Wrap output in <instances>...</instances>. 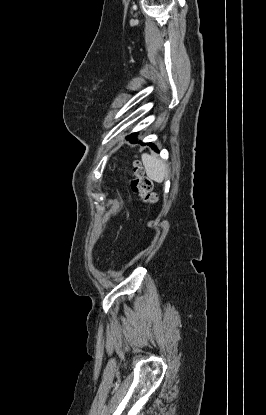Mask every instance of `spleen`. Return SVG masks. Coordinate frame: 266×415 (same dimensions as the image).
<instances>
[{
    "label": "spleen",
    "instance_id": "1",
    "mask_svg": "<svg viewBox=\"0 0 266 415\" xmlns=\"http://www.w3.org/2000/svg\"><path fill=\"white\" fill-rule=\"evenodd\" d=\"M142 162L145 167L147 177L157 183H162L168 174L167 165L155 154H142Z\"/></svg>",
    "mask_w": 266,
    "mask_h": 415
}]
</instances>
